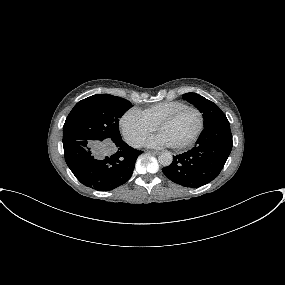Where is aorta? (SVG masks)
Masks as SVG:
<instances>
[{"label":"aorta","mask_w":285,"mask_h":285,"mask_svg":"<svg viewBox=\"0 0 285 285\" xmlns=\"http://www.w3.org/2000/svg\"><path fill=\"white\" fill-rule=\"evenodd\" d=\"M158 161L162 166H169L173 161V157L170 152L163 151L159 154Z\"/></svg>","instance_id":"obj_1"}]
</instances>
